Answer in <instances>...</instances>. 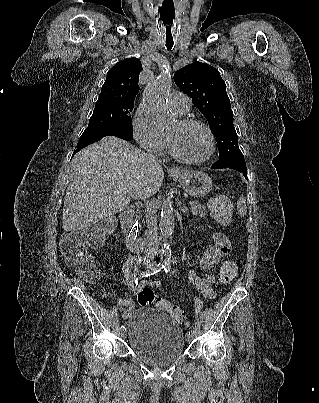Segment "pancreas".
<instances>
[{"instance_id": "cf45deb5", "label": "pancreas", "mask_w": 319, "mask_h": 403, "mask_svg": "<svg viewBox=\"0 0 319 403\" xmlns=\"http://www.w3.org/2000/svg\"><path fill=\"white\" fill-rule=\"evenodd\" d=\"M191 212L195 216L203 217L206 213V208H205V206H202L201 204L196 203L194 206H192Z\"/></svg>"}]
</instances>
